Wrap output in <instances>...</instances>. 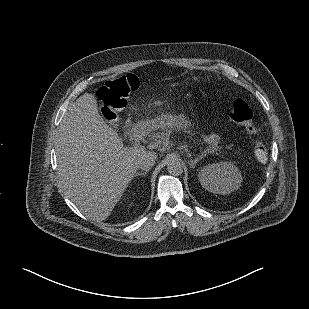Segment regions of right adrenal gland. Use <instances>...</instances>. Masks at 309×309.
<instances>
[{
  "label": "right adrenal gland",
  "instance_id": "2a0ac1e0",
  "mask_svg": "<svg viewBox=\"0 0 309 309\" xmlns=\"http://www.w3.org/2000/svg\"><path fill=\"white\" fill-rule=\"evenodd\" d=\"M148 173V171L139 172L137 173V176H145Z\"/></svg>",
  "mask_w": 309,
  "mask_h": 309
}]
</instances>
